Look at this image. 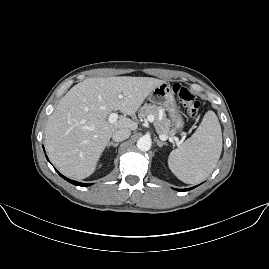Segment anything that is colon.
Listing matches in <instances>:
<instances>
[{
  "label": "colon",
  "mask_w": 269,
  "mask_h": 269,
  "mask_svg": "<svg viewBox=\"0 0 269 269\" xmlns=\"http://www.w3.org/2000/svg\"><path fill=\"white\" fill-rule=\"evenodd\" d=\"M173 93L177 101L183 104L189 116L197 117L200 114V100L181 83L173 85Z\"/></svg>",
  "instance_id": "obj_1"
}]
</instances>
